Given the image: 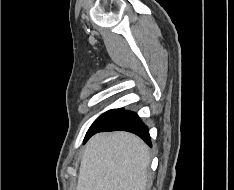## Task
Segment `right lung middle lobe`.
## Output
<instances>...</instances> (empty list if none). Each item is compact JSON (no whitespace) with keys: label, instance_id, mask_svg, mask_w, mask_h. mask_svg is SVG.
Masks as SVG:
<instances>
[{"label":"right lung middle lobe","instance_id":"right-lung-middle-lobe-1","mask_svg":"<svg viewBox=\"0 0 234 190\" xmlns=\"http://www.w3.org/2000/svg\"><path fill=\"white\" fill-rule=\"evenodd\" d=\"M113 110H109L105 113H103L102 115H100L96 121L91 125V127L89 128L88 132H92L93 130L98 129L100 126H102L104 124V122L109 118V116L112 114Z\"/></svg>","mask_w":234,"mask_h":190}]
</instances>
